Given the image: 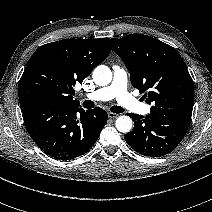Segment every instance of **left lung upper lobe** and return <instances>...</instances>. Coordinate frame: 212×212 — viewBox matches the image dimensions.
<instances>
[{"label": "left lung upper lobe", "mask_w": 212, "mask_h": 212, "mask_svg": "<svg viewBox=\"0 0 212 212\" xmlns=\"http://www.w3.org/2000/svg\"><path fill=\"white\" fill-rule=\"evenodd\" d=\"M112 46L130 72L132 86L146 92L153 108L193 109L194 85L180 54L150 36L130 34L112 39Z\"/></svg>", "instance_id": "1"}]
</instances>
